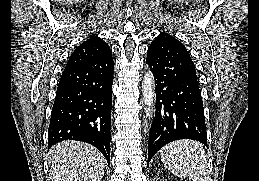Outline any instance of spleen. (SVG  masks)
Wrapping results in <instances>:
<instances>
[{
    "label": "spleen",
    "mask_w": 259,
    "mask_h": 181,
    "mask_svg": "<svg viewBox=\"0 0 259 181\" xmlns=\"http://www.w3.org/2000/svg\"><path fill=\"white\" fill-rule=\"evenodd\" d=\"M161 160L170 172L192 181H209L207 158L203 146L193 140H177L164 146Z\"/></svg>",
    "instance_id": "spleen-1"
}]
</instances>
